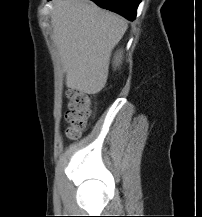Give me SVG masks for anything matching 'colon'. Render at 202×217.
Wrapping results in <instances>:
<instances>
[{
	"label": "colon",
	"mask_w": 202,
	"mask_h": 217,
	"mask_svg": "<svg viewBox=\"0 0 202 217\" xmlns=\"http://www.w3.org/2000/svg\"><path fill=\"white\" fill-rule=\"evenodd\" d=\"M67 96L66 136L69 139H76L83 133L92 118V97L77 90H69Z\"/></svg>",
	"instance_id": "colon-1"
}]
</instances>
